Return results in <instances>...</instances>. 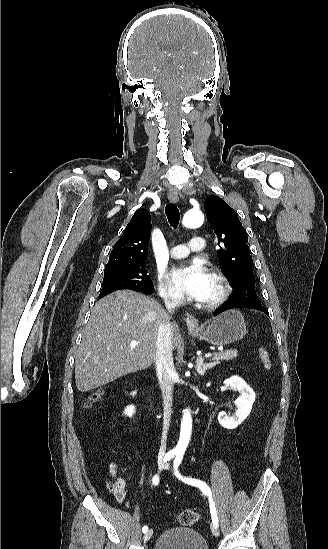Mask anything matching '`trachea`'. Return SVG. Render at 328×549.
I'll return each instance as SVG.
<instances>
[{"instance_id": "3493384b", "label": "trachea", "mask_w": 328, "mask_h": 549, "mask_svg": "<svg viewBox=\"0 0 328 549\" xmlns=\"http://www.w3.org/2000/svg\"><path fill=\"white\" fill-rule=\"evenodd\" d=\"M165 214L171 227L176 229L180 221V213L177 206L173 203L167 204L165 207Z\"/></svg>"}]
</instances>
